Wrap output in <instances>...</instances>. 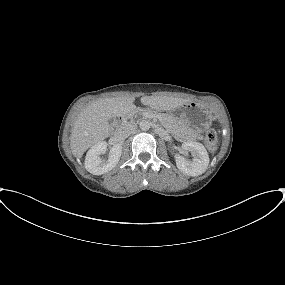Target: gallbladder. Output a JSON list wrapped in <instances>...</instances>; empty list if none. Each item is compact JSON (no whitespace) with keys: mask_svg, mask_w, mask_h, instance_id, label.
<instances>
[{"mask_svg":"<svg viewBox=\"0 0 285 285\" xmlns=\"http://www.w3.org/2000/svg\"><path fill=\"white\" fill-rule=\"evenodd\" d=\"M109 124H112L113 122H114V120L111 118V119H109Z\"/></svg>","mask_w":285,"mask_h":285,"instance_id":"1","label":"gallbladder"}]
</instances>
